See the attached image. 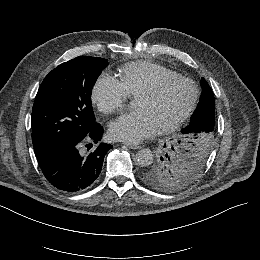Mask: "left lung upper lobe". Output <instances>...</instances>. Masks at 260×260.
<instances>
[{"instance_id": "left-lung-upper-lobe-1", "label": "left lung upper lobe", "mask_w": 260, "mask_h": 260, "mask_svg": "<svg viewBox=\"0 0 260 260\" xmlns=\"http://www.w3.org/2000/svg\"><path fill=\"white\" fill-rule=\"evenodd\" d=\"M201 86L200 100L215 103L213 91L204 78ZM189 125L175 140L164 144L158 157L143 168L142 178L147 184L161 191H177L192 183L204 169L214 146L215 130L191 132Z\"/></svg>"}]
</instances>
